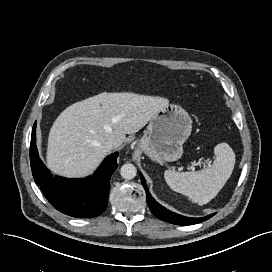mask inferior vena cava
I'll return each mask as SVG.
<instances>
[{
	"label": "inferior vena cava",
	"mask_w": 272,
	"mask_h": 272,
	"mask_svg": "<svg viewBox=\"0 0 272 272\" xmlns=\"http://www.w3.org/2000/svg\"><path fill=\"white\" fill-rule=\"evenodd\" d=\"M105 146L108 148V149H113V148H117L120 146L119 142L117 139H115L114 137H110L106 140L105 142Z\"/></svg>",
	"instance_id": "obj_1"
}]
</instances>
